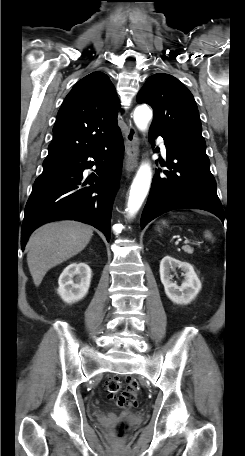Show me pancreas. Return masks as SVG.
<instances>
[{"instance_id":"cf45deb5","label":"pancreas","mask_w":245,"mask_h":456,"mask_svg":"<svg viewBox=\"0 0 245 456\" xmlns=\"http://www.w3.org/2000/svg\"><path fill=\"white\" fill-rule=\"evenodd\" d=\"M183 250L188 253V254H192L193 253V248L190 247L189 245H186L183 247Z\"/></svg>"}]
</instances>
